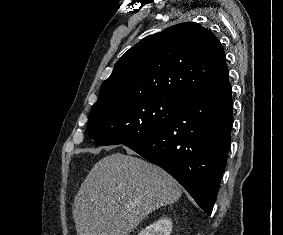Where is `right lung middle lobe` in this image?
Wrapping results in <instances>:
<instances>
[{
    "label": "right lung middle lobe",
    "instance_id": "dd1d6c3e",
    "mask_svg": "<svg viewBox=\"0 0 283 235\" xmlns=\"http://www.w3.org/2000/svg\"><path fill=\"white\" fill-rule=\"evenodd\" d=\"M177 99L130 97L92 107L88 136L99 146L127 144L163 127L173 116Z\"/></svg>",
    "mask_w": 283,
    "mask_h": 235
}]
</instances>
